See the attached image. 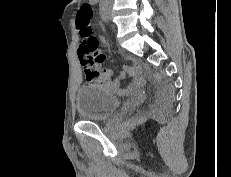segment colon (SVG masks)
<instances>
[{
  "label": "colon",
  "instance_id": "1",
  "mask_svg": "<svg viewBox=\"0 0 231 177\" xmlns=\"http://www.w3.org/2000/svg\"><path fill=\"white\" fill-rule=\"evenodd\" d=\"M93 9L90 4L84 3L77 16V26L82 36V43L78 55L87 75H95V65L103 61V55L99 53V43L92 33L91 18ZM90 67V68H89Z\"/></svg>",
  "mask_w": 231,
  "mask_h": 177
}]
</instances>
